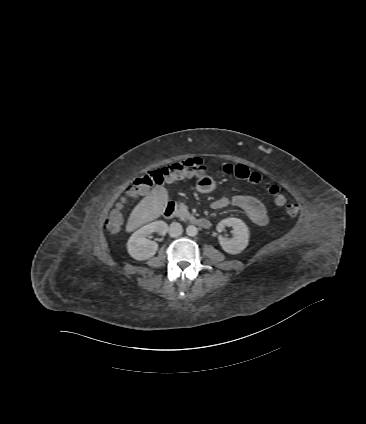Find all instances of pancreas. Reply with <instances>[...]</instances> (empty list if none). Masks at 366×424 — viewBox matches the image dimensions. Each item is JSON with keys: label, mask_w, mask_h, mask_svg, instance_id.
Here are the masks:
<instances>
[{"label": "pancreas", "mask_w": 366, "mask_h": 424, "mask_svg": "<svg viewBox=\"0 0 366 424\" xmlns=\"http://www.w3.org/2000/svg\"><path fill=\"white\" fill-rule=\"evenodd\" d=\"M179 210L181 211L182 215L185 218H187L189 220H193L194 219V217L189 213L187 205H185L184 203H181L179 205Z\"/></svg>", "instance_id": "obj_1"}]
</instances>
